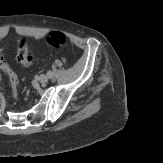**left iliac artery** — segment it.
Here are the masks:
<instances>
[{
	"instance_id": "left-iliac-artery-1",
	"label": "left iliac artery",
	"mask_w": 163,
	"mask_h": 163,
	"mask_svg": "<svg viewBox=\"0 0 163 163\" xmlns=\"http://www.w3.org/2000/svg\"><path fill=\"white\" fill-rule=\"evenodd\" d=\"M46 74H47V76H48L49 78H53V76H54V75H53V72H51V71H48Z\"/></svg>"
}]
</instances>
